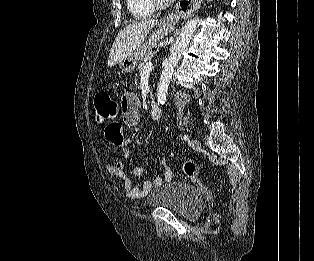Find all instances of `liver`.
Masks as SVG:
<instances>
[{"instance_id":"obj_1","label":"liver","mask_w":314,"mask_h":261,"mask_svg":"<svg viewBox=\"0 0 314 261\" xmlns=\"http://www.w3.org/2000/svg\"><path fill=\"white\" fill-rule=\"evenodd\" d=\"M156 25H159L158 20L147 19L129 24L120 30L111 48L108 66L113 67L130 56L141 46L149 31Z\"/></svg>"}]
</instances>
